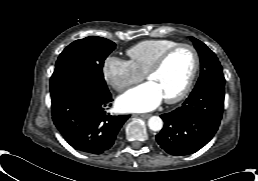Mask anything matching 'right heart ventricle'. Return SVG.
Wrapping results in <instances>:
<instances>
[{
    "label": "right heart ventricle",
    "instance_id": "obj_1",
    "mask_svg": "<svg viewBox=\"0 0 258 181\" xmlns=\"http://www.w3.org/2000/svg\"><path fill=\"white\" fill-rule=\"evenodd\" d=\"M178 42L169 39H150L141 41L127 50L129 62L133 68L145 75L157 58Z\"/></svg>",
    "mask_w": 258,
    "mask_h": 181
}]
</instances>
